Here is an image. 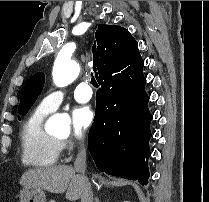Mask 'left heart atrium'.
Returning <instances> with one entry per match:
<instances>
[{
  "label": "left heart atrium",
  "instance_id": "39dd6f15",
  "mask_svg": "<svg viewBox=\"0 0 209 202\" xmlns=\"http://www.w3.org/2000/svg\"><path fill=\"white\" fill-rule=\"evenodd\" d=\"M94 119L95 112L90 107H79L73 114L72 129L74 137L82 138Z\"/></svg>",
  "mask_w": 209,
  "mask_h": 202
}]
</instances>
